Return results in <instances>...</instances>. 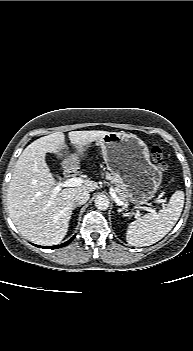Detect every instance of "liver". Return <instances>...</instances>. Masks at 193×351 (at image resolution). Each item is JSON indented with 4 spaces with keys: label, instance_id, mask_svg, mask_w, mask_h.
I'll return each mask as SVG.
<instances>
[{
    "label": "liver",
    "instance_id": "liver-1",
    "mask_svg": "<svg viewBox=\"0 0 193 351\" xmlns=\"http://www.w3.org/2000/svg\"><path fill=\"white\" fill-rule=\"evenodd\" d=\"M107 131H71L70 143L85 157L89 145L104 137ZM46 153L59 158L68 155L62 132L41 137L29 144L19 156L7 190L8 211L18 231L30 241L40 245H56L67 234L74 199L78 192H93L97 182L62 189L53 194L57 186L45 161ZM65 153V154H63Z\"/></svg>",
    "mask_w": 193,
    "mask_h": 351
}]
</instances>
